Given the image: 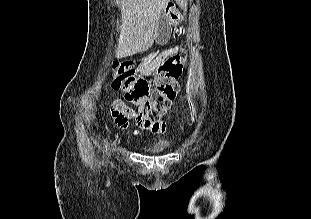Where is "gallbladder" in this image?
I'll use <instances>...</instances> for the list:
<instances>
[{
    "instance_id": "bac80fb5",
    "label": "gallbladder",
    "mask_w": 311,
    "mask_h": 219,
    "mask_svg": "<svg viewBox=\"0 0 311 219\" xmlns=\"http://www.w3.org/2000/svg\"><path fill=\"white\" fill-rule=\"evenodd\" d=\"M171 33V23L165 18V16H161L156 41L160 44L166 43L170 39Z\"/></svg>"
}]
</instances>
